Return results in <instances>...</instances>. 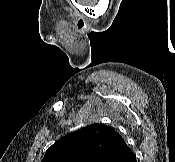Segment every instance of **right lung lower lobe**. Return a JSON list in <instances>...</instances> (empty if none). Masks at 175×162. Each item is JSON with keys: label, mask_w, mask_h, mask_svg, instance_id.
Instances as JSON below:
<instances>
[{"label": "right lung lower lobe", "mask_w": 175, "mask_h": 162, "mask_svg": "<svg viewBox=\"0 0 175 162\" xmlns=\"http://www.w3.org/2000/svg\"><path fill=\"white\" fill-rule=\"evenodd\" d=\"M114 162H137V161H136V157L133 154V152L130 151V152L126 153L125 155L119 157Z\"/></svg>", "instance_id": "obj_1"}]
</instances>
